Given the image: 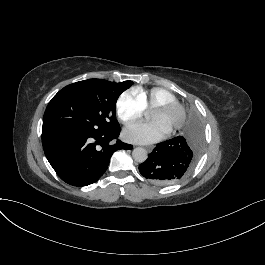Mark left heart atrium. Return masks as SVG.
Listing matches in <instances>:
<instances>
[{
	"mask_svg": "<svg viewBox=\"0 0 265 265\" xmlns=\"http://www.w3.org/2000/svg\"><path fill=\"white\" fill-rule=\"evenodd\" d=\"M127 142L149 144L168 136V129L160 122L136 123L127 126L122 134Z\"/></svg>",
	"mask_w": 265,
	"mask_h": 265,
	"instance_id": "39dd6f15",
	"label": "left heart atrium"
}]
</instances>
